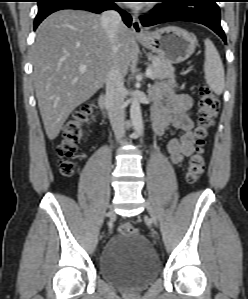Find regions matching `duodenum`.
Returning a JSON list of instances; mask_svg holds the SVG:
<instances>
[{"label": "duodenum", "mask_w": 248, "mask_h": 299, "mask_svg": "<svg viewBox=\"0 0 248 299\" xmlns=\"http://www.w3.org/2000/svg\"><path fill=\"white\" fill-rule=\"evenodd\" d=\"M99 105L105 116L111 112V102L106 92L101 94L99 98Z\"/></svg>", "instance_id": "1"}]
</instances>
